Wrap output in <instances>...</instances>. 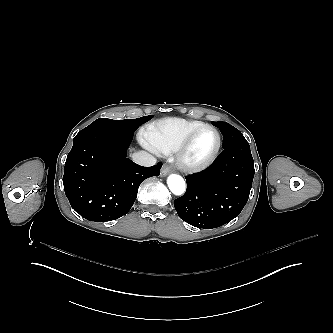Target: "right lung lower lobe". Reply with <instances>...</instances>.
<instances>
[{
  "mask_svg": "<svg viewBox=\"0 0 333 333\" xmlns=\"http://www.w3.org/2000/svg\"><path fill=\"white\" fill-rule=\"evenodd\" d=\"M133 135L84 128L74 138L63 176L72 208L87 220L112 221L132 207L139 185L158 176L162 163L142 167L127 158Z\"/></svg>",
  "mask_w": 333,
  "mask_h": 333,
  "instance_id": "right-lung-lower-lobe-1",
  "label": "right lung lower lobe"
}]
</instances>
